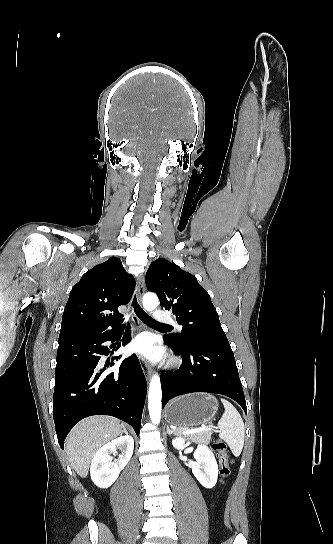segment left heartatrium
I'll use <instances>...</instances> for the list:
<instances>
[{"label": "left heart atrium", "mask_w": 333, "mask_h": 544, "mask_svg": "<svg viewBox=\"0 0 333 544\" xmlns=\"http://www.w3.org/2000/svg\"><path fill=\"white\" fill-rule=\"evenodd\" d=\"M130 350L152 359H159L162 355L161 350L153 348L152 339L147 335L137 337L131 344Z\"/></svg>", "instance_id": "obj_1"}]
</instances>
